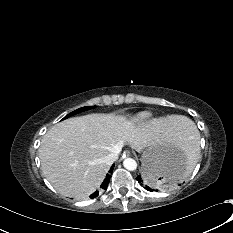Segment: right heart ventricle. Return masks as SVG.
<instances>
[{
	"instance_id": "right-heart-ventricle-1",
	"label": "right heart ventricle",
	"mask_w": 233,
	"mask_h": 233,
	"mask_svg": "<svg viewBox=\"0 0 233 233\" xmlns=\"http://www.w3.org/2000/svg\"><path fill=\"white\" fill-rule=\"evenodd\" d=\"M151 118H152V114L150 112L142 111V112H138V113L134 114L131 117V122L134 125H142V124L148 122Z\"/></svg>"
}]
</instances>
